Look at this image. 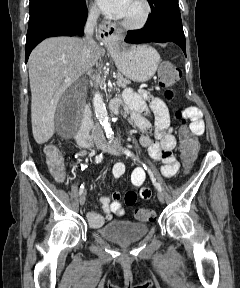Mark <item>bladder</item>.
<instances>
[{
  "label": "bladder",
  "mask_w": 240,
  "mask_h": 288,
  "mask_svg": "<svg viewBox=\"0 0 240 288\" xmlns=\"http://www.w3.org/2000/svg\"><path fill=\"white\" fill-rule=\"evenodd\" d=\"M148 231L146 224L129 220H112L97 230L103 238L117 243L140 240Z\"/></svg>",
  "instance_id": "31cf9c89"
}]
</instances>
